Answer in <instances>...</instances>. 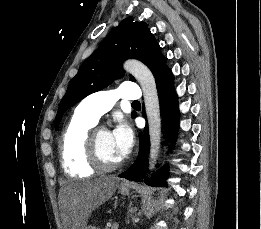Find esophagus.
<instances>
[{
  "label": "esophagus",
  "instance_id": "esophagus-1",
  "mask_svg": "<svg viewBox=\"0 0 261 229\" xmlns=\"http://www.w3.org/2000/svg\"><path fill=\"white\" fill-rule=\"evenodd\" d=\"M122 184H123V185H129V182L123 181Z\"/></svg>",
  "mask_w": 261,
  "mask_h": 229
}]
</instances>
